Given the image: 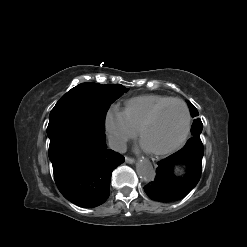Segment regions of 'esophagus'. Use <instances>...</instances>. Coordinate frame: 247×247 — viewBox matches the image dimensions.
Masks as SVG:
<instances>
[{"label":"esophagus","instance_id":"34e87169","mask_svg":"<svg viewBox=\"0 0 247 247\" xmlns=\"http://www.w3.org/2000/svg\"><path fill=\"white\" fill-rule=\"evenodd\" d=\"M125 161H126V163H128V164H133V163H135L134 158H131V157H125Z\"/></svg>","mask_w":247,"mask_h":247}]
</instances>
